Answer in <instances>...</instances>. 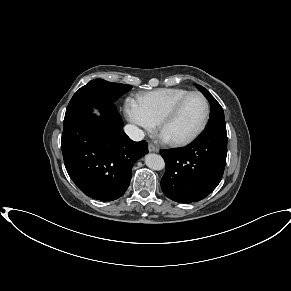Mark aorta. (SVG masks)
Instances as JSON below:
<instances>
[{
  "mask_svg": "<svg viewBox=\"0 0 291 291\" xmlns=\"http://www.w3.org/2000/svg\"><path fill=\"white\" fill-rule=\"evenodd\" d=\"M145 164L152 170H162L165 167L164 159L154 153L147 154L145 156Z\"/></svg>",
  "mask_w": 291,
  "mask_h": 291,
  "instance_id": "aorta-1",
  "label": "aorta"
}]
</instances>
